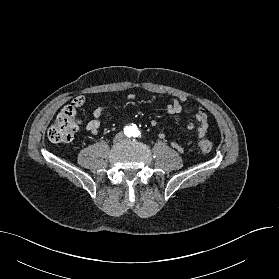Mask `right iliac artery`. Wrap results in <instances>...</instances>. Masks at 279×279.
<instances>
[{
  "label": "right iliac artery",
  "instance_id": "82829eb1",
  "mask_svg": "<svg viewBox=\"0 0 279 279\" xmlns=\"http://www.w3.org/2000/svg\"><path fill=\"white\" fill-rule=\"evenodd\" d=\"M125 134H127L130 137V135H132V130L130 128H126Z\"/></svg>",
  "mask_w": 279,
  "mask_h": 279
}]
</instances>
